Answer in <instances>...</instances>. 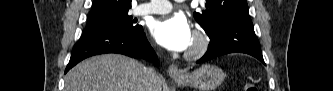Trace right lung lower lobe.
<instances>
[{"instance_id": "right-lung-lower-lobe-1", "label": "right lung lower lobe", "mask_w": 333, "mask_h": 91, "mask_svg": "<svg viewBox=\"0 0 333 91\" xmlns=\"http://www.w3.org/2000/svg\"><path fill=\"white\" fill-rule=\"evenodd\" d=\"M104 53H119L133 58L157 61V56L143 31L85 28L83 35L72 50L65 73L81 60Z\"/></svg>"}]
</instances>
